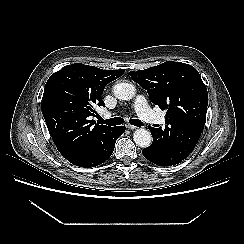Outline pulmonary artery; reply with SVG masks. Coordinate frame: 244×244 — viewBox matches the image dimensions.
<instances>
[{
  "mask_svg": "<svg viewBox=\"0 0 244 244\" xmlns=\"http://www.w3.org/2000/svg\"><path fill=\"white\" fill-rule=\"evenodd\" d=\"M134 109L138 116L145 122L150 124H164L165 117L161 114L155 113L147 104V101L144 96L139 95L134 101ZM106 117H109L110 114L106 113Z\"/></svg>",
  "mask_w": 244,
  "mask_h": 244,
  "instance_id": "e3ab8cb5",
  "label": "pulmonary artery"
}]
</instances>
